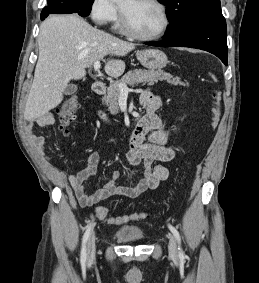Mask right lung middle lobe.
<instances>
[{
	"instance_id": "right-lung-middle-lobe-1",
	"label": "right lung middle lobe",
	"mask_w": 259,
	"mask_h": 283,
	"mask_svg": "<svg viewBox=\"0 0 259 283\" xmlns=\"http://www.w3.org/2000/svg\"><path fill=\"white\" fill-rule=\"evenodd\" d=\"M84 2V8L83 12L86 13L85 16H87L90 13L91 5L94 2V0H82Z\"/></svg>"
}]
</instances>
